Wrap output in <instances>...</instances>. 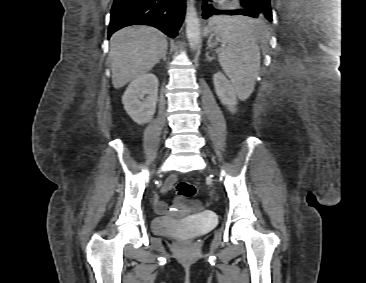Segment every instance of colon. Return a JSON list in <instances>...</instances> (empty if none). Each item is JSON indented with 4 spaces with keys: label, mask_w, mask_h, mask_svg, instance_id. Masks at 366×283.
Here are the masks:
<instances>
[{
    "label": "colon",
    "mask_w": 366,
    "mask_h": 283,
    "mask_svg": "<svg viewBox=\"0 0 366 283\" xmlns=\"http://www.w3.org/2000/svg\"><path fill=\"white\" fill-rule=\"evenodd\" d=\"M176 193L181 198L191 199L196 193V188L190 182L180 181L176 186ZM194 206L197 207V204L194 203Z\"/></svg>",
    "instance_id": "colon-1"
}]
</instances>
